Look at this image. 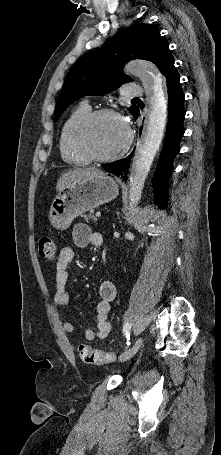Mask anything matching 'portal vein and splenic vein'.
Wrapping results in <instances>:
<instances>
[{
	"instance_id": "1",
	"label": "portal vein and splenic vein",
	"mask_w": 221,
	"mask_h": 455,
	"mask_svg": "<svg viewBox=\"0 0 221 455\" xmlns=\"http://www.w3.org/2000/svg\"><path fill=\"white\" fill-rule=\"evenodd\" d=\"M101 216V213L100 212H97L96 213V217L99 218Z\"/></svg>"
}]
</instances>
